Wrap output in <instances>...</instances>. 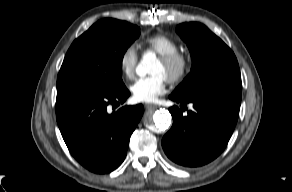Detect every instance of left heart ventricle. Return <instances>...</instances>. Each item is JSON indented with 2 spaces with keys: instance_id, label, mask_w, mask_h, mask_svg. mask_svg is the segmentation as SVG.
<instances>
[{
  "instance_id": "left-heart-ventricle-1",
  "label": "left heart ventricle",
  "mask_w": 292,
  "mask_h": 192,
  "mask_svg": "<svg viewBox=\"0 0 292 192\" xmlns=\"http://www.w3.org/2000/svg\"><path fill=\"white\" fill-rule=\"evenodd\" d=\"M167 68L166 66L158 60L150 69V73L152 74H162L165 77L167 76Z\"/></svg>"
}]
</instances>
